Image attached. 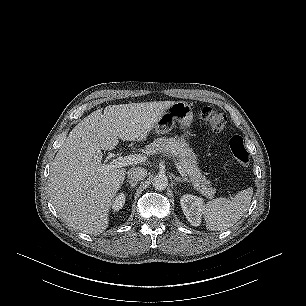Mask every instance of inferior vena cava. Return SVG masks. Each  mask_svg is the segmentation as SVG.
Segmentation results:
<instances>
[{
	"instance_id": "inferior-vena-cava-1",
	"label": "inferior vena cava",
	"mask_w": 306,
	"mask_h": 306,
	"mask_svg": "<svg viewBox=\"0 0 306 306\" xmlns=\"http://www.w3.org/2000/svg\"><path fill=\"white\" fill-rule=\"evenodd\" d=\"M147 175V170L143 167H133L127 171L129 181L138 182L144 179Z\"/></svg>"
}]
</instances>
